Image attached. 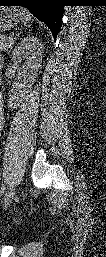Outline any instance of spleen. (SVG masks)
<instances>
[{"label":"spleen","instance_id":"3e777b00","mask_svg":"<svg viewBox=\"0 0 106 257\" xmlns=\"http://www.w3.org/2000/svg\"><path fill=\"white\" fill-rule=\"evenodd\" d=\"M21 20L24 25H28V23L31 21V14L28 11L24 10Z\"/></svg>","mask_w":106,"mask_h":257}]
</instances>
